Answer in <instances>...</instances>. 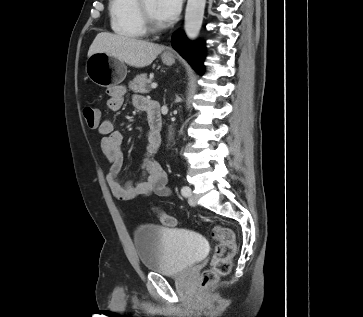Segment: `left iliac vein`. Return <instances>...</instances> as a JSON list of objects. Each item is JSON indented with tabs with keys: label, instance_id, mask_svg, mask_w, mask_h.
<instances>
[{
	"label": "left iliac vein",
	"instance_id": "1",
	"mask_svg": "<svg viewBox=\"0 0 363 317\" xmlns=\"http://www.w3.org/2000/svg\"><path fill=\"white\" fill-rule=\"evenodd\" d=\"M188 202H189V204L191 206H195L196 205V200H195V198L192 195L191 189H190V192H189V200H188Z\"/></svg>",
	"mask_w": 363,
	"mask_h": 317
}]
</instances>
